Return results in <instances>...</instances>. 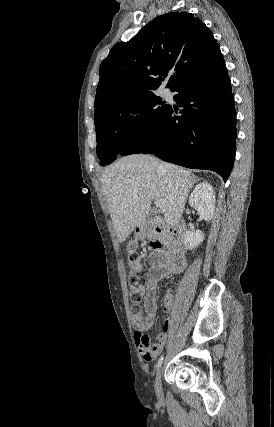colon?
<instances>
[{"label": "colon", "instance_id": "5ec220e1", "mask_svg": "<svg viewBox=\"0 0 274 427\" xmlns=\"http://www.w3.org/2000/svg\"><path fill=\"white\" fill-rule=\"evenodd\" d=\"M138 261H139L138 254L132 253L129 256L130 269L132 273L129 279V288H130V293L133 300V304L131 307V315H132V319L134 321L135 326H140L145 323V318L142 317V313L139 306V303L142 301V298L140 295V289L145 284V280L142 277V275L139 274L137 270H135L134 265ZM147 337L149 336L147 335ZM151 358H152V354H151Z\"/></svg>", "mask_w": 274, "mask_h": 427}]
</instances>
